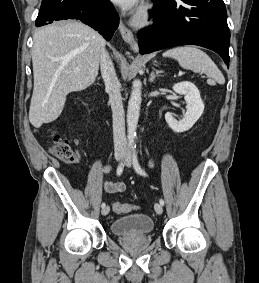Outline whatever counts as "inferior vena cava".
Instances as JSON below:
<instances>
[{
    "mask_svg": "<svg viewBox=\"0 0 259 283\" xmlns=\"http://www.w3.org/2000/svg\"><path fill=\"white\" fill-rule=\"evenodd\" d=\"M100 67L106 91L109 94V101L112 109L113 117V139L116 149H125L127 145L125 136V118L120 93V83L118 81L114 65L109 54L102 49L100 55Z\"/></svg>",
    "mask_w": 259,
    "mask_h": 283,
    "instance_id": "obj_1",
    "label": "inferior vena cava"
}]
</instances>
